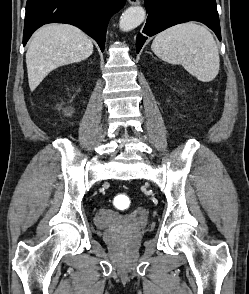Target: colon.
I'll return each mask as SVG.
<instances>
[{"label":"colon","mask_w":249,"mask_h":294,"mask_svg":"<svg viewBox=\"0 0 249 294\" xmlns=\"http://www.w3.org/2000/svg\"><path fill=\"white\" fill-rule=\"evenodd\" d=\"M115 205L117 207L127 208L131 204V200L126 195H118L115 197Z\"/></svg>","instance_id":"colon-1"}]
</instances>
